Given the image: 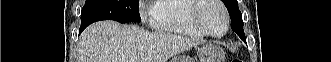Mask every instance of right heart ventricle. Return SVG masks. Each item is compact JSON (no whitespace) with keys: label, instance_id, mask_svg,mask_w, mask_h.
Returning <instances> with one entry per match:
<instances>
[{"label":"right heart ventricle","instance_id":"obj_1","mask_svg":"<svg viewBox=\"0 0 331 62\" xmlns=\"http://www.w3.org/2000/svg\"><path fill=\"white\" fill-rule=\"evenodd\" d=\"M192 0H160L152 10L151 16L156 27L164 32L191 38H203L189 20Z\"/></svg>","mask_w":331,"mask_h":62}]
</instances>
